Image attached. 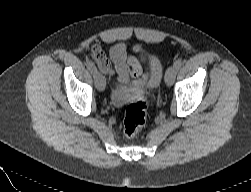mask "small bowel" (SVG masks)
I'll return each mask as SVG.
<instances>
[{"label": "small bowel", "mask_w": 251, "mask_h": 192, "mask_svg": "<svg viewBox=\"0 0 251 192\" xmlns=\"http://www.w3.org/2000/svg\"><path fill=\"white\" fill-rule=\"evenodd\" d=\"M93 58L100 70L109 75H116L118 82L127 83L132 79L135 83L147 80V61L145 54L134 56L128 53L124 43H117L107 56L98 46L92 50Z\"/></svg>", "instance_id": "1"}]
</instances>
